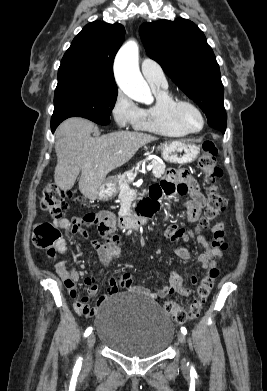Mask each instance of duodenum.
<instances>
[{"mask_svg":"<svg viewBox=\"0 0 267 391\" xmlns=\"http://www.w3.org/2000/svg\"><path fill=\"white\" fill-rule=\"evenodd\" d=\"M155 208L156 205L149 201L139 208V213L136 215L130 212L123 213L118 219V226L123 230L140 229L147 224L148 218L155 211Z\"/></svg>","mask_w":267,"mask_h":391,"instance_id":"1","label":"duodenum"}]
</instances>
